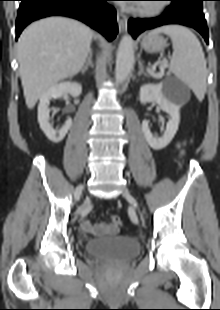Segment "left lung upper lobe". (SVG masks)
<instances>
[{"label": "left lung upper lobe", "instance_id": "left-lung-upper-lobe-1", "mask_svg": "<svg viewBox=\"0 0 220 310\" xmlns=\"http://www.w3.org/2000/svg\"><path fill=\"white\" fill-rule=\"evenodd\" d=\"M197 1H199V3L202 4V2H203L204 0H197Z\"/></svg>", "mask_w": 220, "mask_h": 310}]
</instances>
